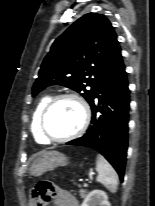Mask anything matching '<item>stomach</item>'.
<instances>
[{
    "instance_id": "obj_1",
    "label": "stomach",
    "mask_w": 155,
    "mask_h": 206,
    "mask_svg": "<svg viewBox=\"0 0 155 206\" xmlns=\"http://www.w3.org/2000/svg\"><path fill=\"white\" fill-rule=\"evenodd\" d=\"M69 163V159L59 151H48L42 153L31 165L30 174L40 176L47 171L54 170L59 166H65Z\"/></svg>"
}]
</instances>
